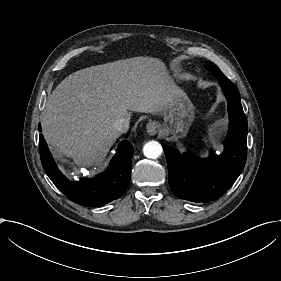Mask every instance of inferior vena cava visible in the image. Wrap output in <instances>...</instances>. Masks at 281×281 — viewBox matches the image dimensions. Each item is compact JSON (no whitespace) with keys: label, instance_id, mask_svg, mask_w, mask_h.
I'll use <instances>...</instances> for the list:
<instances>
[{"label":"inferior vena cava","instance_id":"602c4592","mask_svg":"<svg viewBox=\"0 0 281 281\" xmlns=\"http://www.w3.org/2000/svg\"><path fill=\"white\" fill-rule=\"evenodd\" d=\"M114 126L119 132L126 133L129 129V120H126L124 118L119 119L114 123Z\"/></svg>","mask_w":281,"mask_h":281}]
</instances>
